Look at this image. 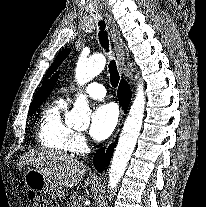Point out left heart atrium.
<instances>
[{
  "mask_svg": "<svg viewBox=\"0 0 206 207\" xmlns=\"http://www.w3.org/2000/svg\"><path fill=\"white\" fill-rule=\"evenodd\" d=\"M119 118V111L114 103L99 105L93 115L90 135L94 140L100 141L108 138L114 131Z\"/></svg>",
  "mask_w": 206,
  "mask_h": 207,
  "instance_id": "obj_1",
  "label": "left heart atrium"
}]
</instances>
